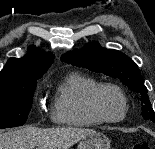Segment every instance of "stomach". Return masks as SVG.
<instances>
[{"label": "stomach", "instance_id": "stomach-1", "mask_svg": "<svg viewBox=\"0 0 155 149\" xmlns=\"http://www.w3.org/2000/svg\"><path fill=\"white\" fill-rule=\"evenodd\" d=\"M110 143L106 135L94 132L80 140L78 149H110Z\"/></svg>", "mask_w": 155, "mask_h": 149}]
</instances>
